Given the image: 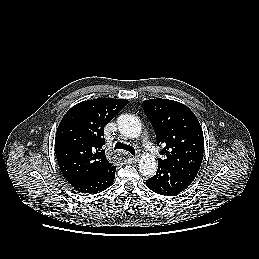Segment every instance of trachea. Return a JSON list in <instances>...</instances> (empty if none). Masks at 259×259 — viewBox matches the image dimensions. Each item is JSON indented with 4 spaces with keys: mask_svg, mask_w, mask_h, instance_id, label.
I'll return each mask as SVG.
<instances>
[{
    "mask_svg": "<svg viewBox=\"0 0 259 259\" xmlns=\"http://www.w3.org/2000/svg\"><path fill=\"white\" fill-rule=\"evenodd\" d=\"M115 150H126L130 152L132 155H135V150L132 146L124 144L122 142H117L114 147Z\"/></svg>",
    "mask_w": 259,
    "mask_h": 259,
    "instance_id": "1",
    "label": "trachea"
}]
</instances>
